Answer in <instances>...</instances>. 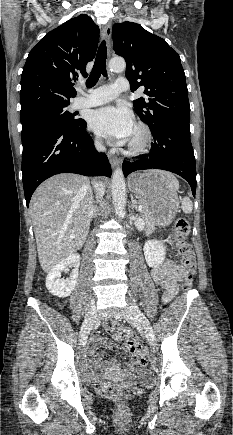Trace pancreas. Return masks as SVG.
Masks as SVG:
<instances>
[{"instance_id":"obj_1","label":"pancreas","mask_w":233,"mask_h":435,"mask_svg":"<svg viewBox=\"0 0 233 435\" xmlns=\"http://www.w3.org/2000/svg\"><path fill=\"white\" fill-rule=\"evenodd\" d=\"M140 204L143 206L142 210L140 211L141 217L146 223L147 230H151L153 229L155 224L152 212L146 204H144L143 202H141Z\"/></svg>"}]
</instances>
